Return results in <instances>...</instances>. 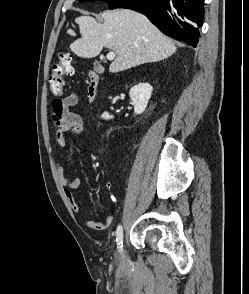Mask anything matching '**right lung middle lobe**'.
I'll use <instances>...</instances> for the list:
<instances>
[{
  "label": "right lung middle lobe",
  "mask_w": 249,
  "mask_h": 294,
  "mask_svg": "<svg viewBox=\"0 0 249 294\" xmlns=\"http://www.w3.org/2000/svg\"><path fill=\"white\" fill-rule=\"evenodd\" d=\"M80 2L95 1V0H79ZM108 3L109 9L119 8L124 0H103Z\"/></svg>",
  "instance_id": "right-lung-middle-lobe-1"
}]
</instances>
